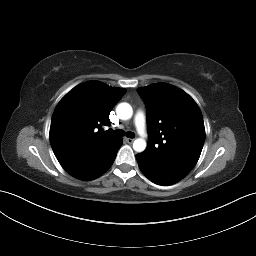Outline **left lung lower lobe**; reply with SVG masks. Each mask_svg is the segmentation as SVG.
<instances>
[{"label": "left lung lower lobe", "instance_id": "left-lung-lower-lobe-1", "mask_svg": "<svg viewBox=\"0 0 256 256\" xmlns=\"http://www.w3.org/2000/svg\"><path fill=\"white\" fill-rule=\"evenodd\" d=\"M136 158L140 170L149 180H151L155 184L171 185L184 178V176L169 172L164 168L149 161V159L143 152L137 154Z\"/></svg>", "mask_w": 256, "mask_h": 256}]
</instances>
